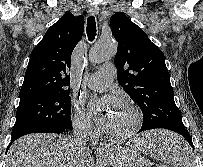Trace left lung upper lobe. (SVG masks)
Wrapping results in <instances>:
<instances>
[{
    "label": "left lung upper lobe",
    "instance_id": "1",
    "mask_svg": "<svg viewBox=\"0 0 203 167\" xmlns=\"http://www.w3.org/2000/svg\"><path fill=\"white\" fill-rule=\"evenodd\" d=\"M110 24L118 42L114 59L117 80L141 108V128H185L163 52L123 13L112 15Z\"/></svg>",
    "mask_w": 203,
    "mask_h": 167
}]
</instances>
